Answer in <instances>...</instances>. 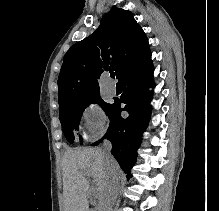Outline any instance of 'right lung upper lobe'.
Segmentation results:
<instances>
[{
	"instance_id": "1",
	"label": "right lung upper lobe",
	"mask_w": 219,
	"mask_h": 211,
	"mask_svg": "<svg viewBox=\"0 0 219 211\" xmlns=\"http://www.w3.org/2000/svg\"><path fill=\"white\" fill-rule=\"evenodd\" d=\"M150 58L148 39L132 13L111 9L92 35L65 54L58 78L59 106L100 94L99 81L109 69L120 81Z\"/></svg>"
}]
</instances>
